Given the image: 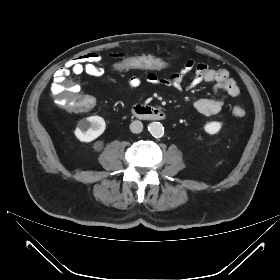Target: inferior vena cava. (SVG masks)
<instances>
[{
	"instance_id": "1",
	"label": "inferior vena cava",
	"mask_w": 280,
	"mask_h": 280,
	"mask_svg": "<svg viewBox=\"0 0 280 280\" xmlns=\"http://www.w3.org/2000/svg\"><path fill=\"white\" fill-rule=\"evenodd\" d=\"M130 130L132 133H141L143 130V124L139 120H135L130 124Z\"/></svg>"
}]
</instances>
